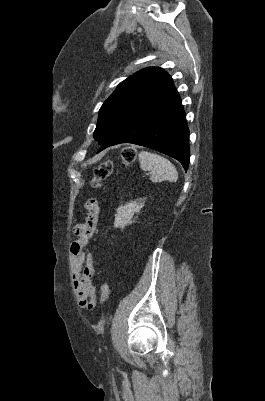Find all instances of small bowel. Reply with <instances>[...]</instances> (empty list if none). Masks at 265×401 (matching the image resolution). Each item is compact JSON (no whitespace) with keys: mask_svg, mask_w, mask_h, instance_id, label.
I'll list each match as a JSON object with an SVG mask.
<instances>
[{"mask_svg":"<svg viewBox=\"0 0 265 401\" xmlns=\"http://www.w3.org/2000/svg\"><path fill=\"white\" fill-rule=\"evenodd\" d=\"M86 218L83 223L75 225L73 233L77 239L70 246L72 276L76 298L81 307L92 310L96 304L97 291L92 279L95 268L91 254L84 252L96 231L99 204L97 199L88 198L84 203Z\"/></svg>","mask_w":265,"mask_h":401,"instance_id":"c3829d8e","label":"small bowel"}]
</instances>
